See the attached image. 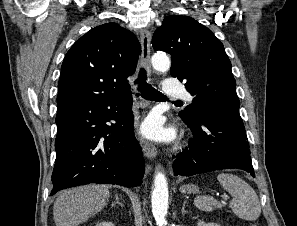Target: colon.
Returning <instances> with one entry per match:
<instances>
[{
  "instance_id": "colon-1",
  "label": "colon",
  "mask_w": 297,
  "mask_h": 226,
  "mask_svg": "<svg viewBox=\"0 0 297 226\" xmlns=\"http://www.w3.org/2000/svg\"><path fill=\"white\" fill-rule=\"evenodd\" d=\"M250 226H256L255 224H252V225H250Z\"/></svg>"
}]
</instances>
